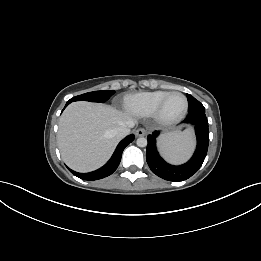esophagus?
<instances>
[{
  "mask_svg": "<svg viewBox=\"0 0 261 261\" xmlns=\"http://www.w3.org/2000/svg\"><path fill=\"white\" fill-rule=\"evenodd\" d=\"M146 135V130L144 128H139L136 130V136L141 137Z\"/></svg>",
  "mask_w": 261,
  "mask_h": 261,
  "instance_id": "obj_1",
  "label": "esophagus"
}]
</instances>
